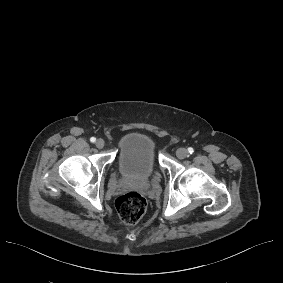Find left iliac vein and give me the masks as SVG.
<instances>
[{
  "label": "left iliac vein",
  "instance_id": "obj_1",
  "mask_svg": "<svg viewBox=\"0 0 283 283\" xmlns=\"http://www.w3.org/2000/svg\"><path fill=\"white\" fill-rule=\"evenodd\" d=\"M188 150L187 149H185V148H178L177 150H176V155H177V157L178 158H180V159H184V158H186L187 156H188Z\"/></svg>",
  "mask_w": 283,
  "mask_h": 283
}]
</instances>
